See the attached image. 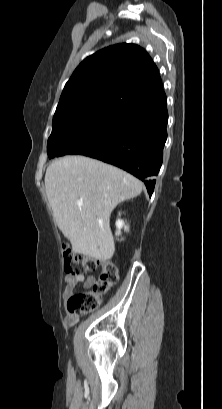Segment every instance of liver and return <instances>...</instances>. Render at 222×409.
Segmentation results:
<instances>
[{
  "mask_svg": "<svg viewBox=\"0 0 222 409\" xmlns=\"http://www.w3.org/2000/svg\"><path fill=\"white\" fill-rule=\"evenodd\" d=\"M142 188V182L131 174L85 156L57 159L45 174L54 220L72 252L101 261L111 259L115 252L111 212L119 203L140 195Z\"/></svg>",
  "mask_w": 222,
  "mask_h": 409,
  "instance_id": "6515ba94",
  "label": "liver"
}]
</instances>
